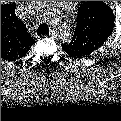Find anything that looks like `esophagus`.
I'll return each instance as SVG.
<instances>
[{
  "mask_svg": "<svg viewBox=\"0 0 121 121\" xmlns=\"http://www.w3.org/2000/svg\"><path fill=\"white\" fill-rule=\"evenodd\" d=\"M55 32L53 30L50 31V36H54Z\"/></svg>",
  "mask_w": 121,
  "mask_h": 121,
  "instance_id": "34e87169",
  "label": "esophagus"
}]
</instances>
